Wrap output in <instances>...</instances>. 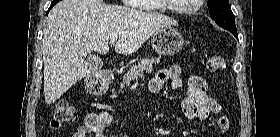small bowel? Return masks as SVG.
<instances>
[{
    "label": "small bowel",
    "mask_w": 280,
    "mask_h": 137,
    "mask_svg": "<svg viewBox=\"0 0 280 137\" xmlns=\"http://www.w3.org/2000/svg\"><path fill=\"white\" fill-rule=\"evenodd\" d=\"M170 82L172 90H176L184 83L187 86L185 98L182 102V110L188 119H196L207 123L211 118H216L218 126L230 125L229 117L223 112L221 105L207 93L208 85L202 76L191 74L186 81L182 78L179 65H172L169 68L158 71L155 78L150 81L149 89L152 93H159L165 83ZM95 124L89 123L91 118ZM112 122V115L107 112L87 116L85 124L79 127L72 137H105L104 131Z\"/></svg>",
    "instance_id": "c3829d8e"
}]
</instances>
